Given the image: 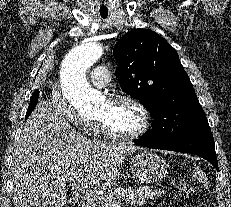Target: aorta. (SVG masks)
I'll use <instances>...</instances> for the list:
<instances>
[{"label": "aorta", "instance_id": "obj_1", "mask_svg": "<svg viewBox=\"0 0 231 207\" xmlns=\"http://www.w3.org/2000/svg\"><path fill=\"white\" fill-rule=\"evenodd\" d=\"M102 46L94 41L72 48L64 57L61 69V88L66 100L82 113H91L104 100L87 79V70L102 56Z\"/></svg>", "mask_w": 231, "mask_h": 207}]
</instances>
